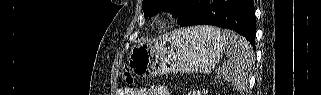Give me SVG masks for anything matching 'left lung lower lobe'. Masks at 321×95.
<instances>
[{"instance_id": "0a47b994", "label": "left lung lower lobe", "mask_w": 321, "mask_h": 95, "mask_svg": "<svg viewBox=\"0 0 321 95\" xmlns=\"http://www.w3.org/2000/svg\"><path fill=\"white\" fill-rule=\"evenodd\" d=\"M175 17L181 26L205 24L231 29L246 37L254 47L253 0H188Z\"/></svg>"}]
</instances>
